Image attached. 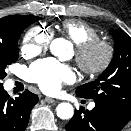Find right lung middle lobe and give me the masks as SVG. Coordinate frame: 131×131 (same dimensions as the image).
Instances as JSON below:
<instances>
[{"label":"right lung middle lobe","mask_w":131,"mask_h":131,"mask_svg":"<svg viewBox=\"0 0 131 131\" xmlns=\"http://www.w3.org/2000/svg\"><path fill=\"white\" fill-rule=\"evenodd\" d=\"M40 19L37 16L18 15L10 22L7 34L0 37V80L7 75L6 67L18 59V39L21 33ZM0 87H3L1 82Z\"/></svg>","instance_id":"dd1d6c3e"}]
</instances>
